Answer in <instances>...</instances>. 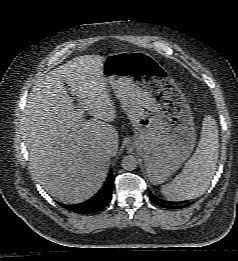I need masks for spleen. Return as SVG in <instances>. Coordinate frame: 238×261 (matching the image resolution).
I'll return each instance as SVG.
<instances>
[{"instance_id": "3e777b00", "label": "spleen", "mask_w": 238, "mask_h": 261, "mask_svg": "<svg viewBox=\"0 0 238 261\" xmlns=\"http://www.w3.org/2000/svg\"><path fill=\"white\" fill-rule=\"evenodd\" d=\"M218 154V126L209 115L203 120L201 138L195 153L182 172L170 184L161 187V193L171 201L190 200L204 194L214 176Z\"/></svg>"}]
</instances>
